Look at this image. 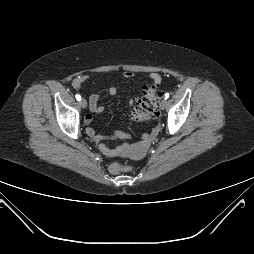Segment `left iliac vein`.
Returning a JSON list of instances; mask_svg holds the SVG:
<instances>
[{
  "instance_id": "left-iliac-vein-1",
  "label": "left iliac vein",
  "mask_w": 254,
  "mask_h": 254,
  "mask_svg": "<svg viewBox=\"0 0 254 254\" xmlns=\"http://www.w3.org/2000/svg\"><path fill=\"white\" fill-rule=\"evenodd\" d=\"M167 106V101L165 99H163L161 102H160V108L163 110L165 109Z\"/></svg>"
}]
</instances>
